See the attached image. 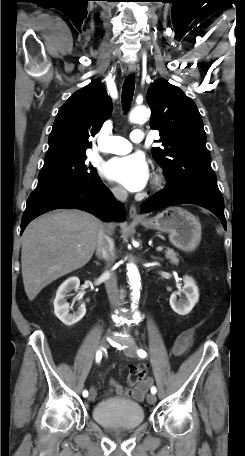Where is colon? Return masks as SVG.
<instances>
[{
  "label": "colon",
  "instance_id": "1",
  "mask_svg": "<svg viewBox=\"0 0 245 456\" xmlns=\"http://www.w3.org/2000/svg\"><path fill=\"white\" fill-rule=\"evenodd\" d=\"M146 375V367L144 365H138L136 367H133L127 376V381L130 385H136L140 381L143 380V378Z\"/></svg>",
  "mask_w": 245,
  "mask_h": 456
}]
</instances>
